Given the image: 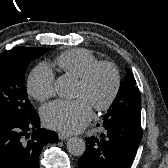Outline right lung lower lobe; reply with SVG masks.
Masks as SVG:
<instances>
[{
  "label": "right lung lower lobe",
  "instance_id": "98d812e1",
  "mask_svg": "<svg viewBox=\"0 0 168 168\" xmlns=\"http://www.w3.org/2000/svg\"><path fill=\"white\" fill-rule=\"evenodd\" d=\"M55 132L40 128L38 115L29 119L0 118V168H39V155Z\"/></svg>",
  "mask_w": 168,
  "mask_h": 168
}]
</instances>
